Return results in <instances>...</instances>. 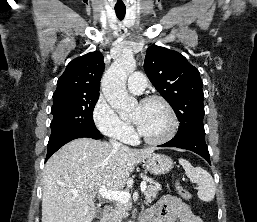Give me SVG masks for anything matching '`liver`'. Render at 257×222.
<instances>
[{
  "label": "liver",
  "mask_w": 257,
  "mask_h": 222,
  "mask_svg": "<svg viewBox=\"0 0 257 222\" xmlns=\"http://www.w3.org/2000/svg\"><path fill=\"white\" fill-rule=\"evenodd\" d=\"M155 148L130 149L88 138L75 139L47 161L43 171L42 222H92L95 191H120L136 164Z\"/></svg>",
  "instance_id": "1"
}]
</instances>
